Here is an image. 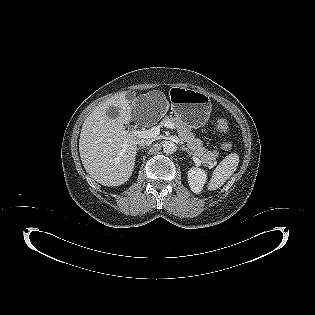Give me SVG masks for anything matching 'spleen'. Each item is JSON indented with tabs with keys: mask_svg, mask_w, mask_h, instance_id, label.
Listing matches in <instances>:
<instances>
[{
	"mask_svg": "<svg viewBox=\"0 0 315 315\" xmlns=\"http://www.w3.org/2000/svg\"><path fill=\"white\" fill-rule=\"evenodd\" d=\"M239 164V156L237 153L227 155L212 173L208 190H216L221 187L236 171Z\"/></svg>",
	"mask_w": 315,
	"mask_h": 315,
	"instance_id": "1",
	"label": "spleen"
}]
</instances>
